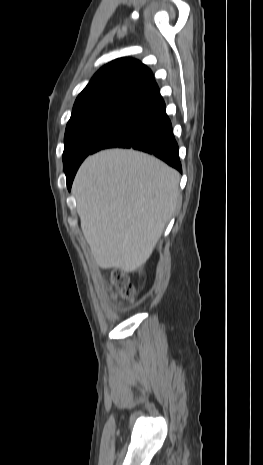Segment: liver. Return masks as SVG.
Returning <instances> with one entry per match:
<instances>
[{
  "label": "liver",
  "instance_id": "6515ba94",
  "mask_svg": "<svg viewBox=\"0 0 263 465\" xmlns=\"http://www.w3.org/2000/svg\"><path fill=\"white\" fill-rule=\"evenodd\" d=\"M179 181L175 169L139 151L109 149L85 159L72 191L99 267L133 272L146 263L174 213Z\"/></svg>",
  "mask_w": 263,
  "mask_h": 465
}]
</instances>
